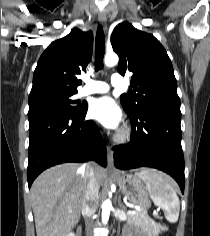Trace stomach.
<instances>
[{
  "instance_id": "stomach-1",
  "label": "stomach",
  "mask_w": 210,
  "mask_h": 236,
  "mask_svg": "<svg viewBox=\"0 0 210 236\" xmlns=\"http://www.w3.org/2000/svg\"><path fill=\"white\" fill-rule=\"evenodd\" d=\"M114 179L118 183L121 192L128 197L131 203L143 210L150 207L148 190L139 176L136 174H118L114 176Z\"/></svg>"
}]
</instances>
